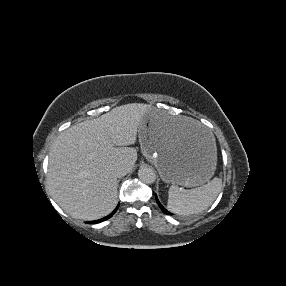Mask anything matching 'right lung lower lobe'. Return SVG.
Returning <instances> with one entry per match:
<instances>
[{
  "label": "right lung lower lobe",
  "instance_id": "obj_1",
  "mask_svg": "<svg viewBox=\"0 0 286 286\" xmlns=\"http://www.w3.org/2000/svg\"><path fill=\"white\" fill-rule=\"evenodd\" d=\"M118 206H119V205H118ZM118 206H117L116 209H115L111 214H109L108 216H106V217H104V218H102V219H99V220H96V221L87 222V223H91V224H93V223H99V222H102V221H105V220L109 219V218L112 217L113 214L117 211Z\"/></svg>",
  "mask_w": 286,
  "mask_h": 286
}]
</instances>
